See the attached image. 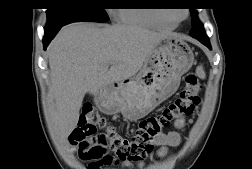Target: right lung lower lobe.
<instances>
[{"label": "right lung lower lobe", "instance_id": "obj_1", "mask_svg": "<svg viewBox=\"0 0 252 169\" xmlns=\"http://www.w3.org/2000/svg\"><path fill=\"white\" fill-rule=\"evenodd\" d=\"M61 28H57L54 30H49L44 32V37H43V45L44 49H46L47 45L50 43V41L55 37V35L58 33V31Z\"/></svg>", "mask_w": 252, "mask_h": 169}]
</instances>
